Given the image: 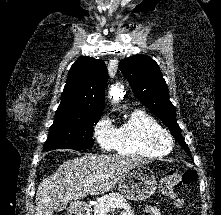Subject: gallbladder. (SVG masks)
Returning a JSON list of instances; mask_svg holds the SVG:
<instances>
[{
	"label": "gallbladder",
	"instance_id": "1",
	"mask_svg": "<svg viewBox=\"0 0 221 215\" xmlns=\"http://www.w3.org/2000/svg\"><path fill=\"white\" fill-rule=\"evenodd\" d=\"M67 204H68V202H66V201L59 202V203L56 204V206H55V211H56V212H61V211H63V210L66 208Z\"/></svg>",
	"mask_w": 221,
	"mask_h": 215
}]
</instances>
